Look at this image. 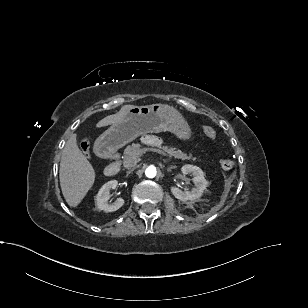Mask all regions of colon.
Masks as SVG:
<instances>
[{"label":"colon","instance_id":"1","mask_svg":"<svg viewBox=\"0 0 308 308\" xmlns=\"http://www.w3.org/2000/svg\"><path fill=\"white\" fill-rule=\"evenodd\" d=\"M203 131L205 133V135L207 137H209L210 139H216L217 138V132L215 129H213L212 127L210 126H205L203 128ZM81 148L82 150L87 153L88 152V149H89V141L87 139H82L81 143ZM234 166V161L229 159V158H226V159H222L220 161V167L223 169V170H230L232 169Z\"/></svg>","mask_w":308,"mask_h":308}]
</instances>
